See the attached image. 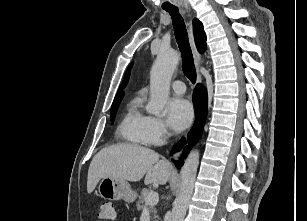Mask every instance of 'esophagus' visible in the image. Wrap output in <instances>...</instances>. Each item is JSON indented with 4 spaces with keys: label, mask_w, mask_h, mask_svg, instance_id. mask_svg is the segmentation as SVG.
<instances>
[{
    "label": "esophagus",
    "mask_w": 307,
    "mask_h": 221,
    "mask_svg": "<svg viewBox=\"0 0 307 221\" xmlns=\"http://www.w3.org/2000/svg\"><path fill=\"white\" fill-rule=\"evenodd\" d=\"M188 28H189L188 31H189L190 44H191V48H192V52H193L196 70H197V82L200 83L201 82V74H200L199 67H200V62H201V55L198 53L196 46H195L191 20L188 22ZM186 137H187V134L185 135V138ZM181 153H182V151L177 152L174 155V157L178 158L181 155Z\"/></svg>",
    "instance_id": "esophagus-1"
}]
</instances>
